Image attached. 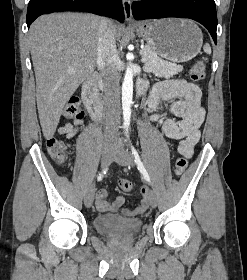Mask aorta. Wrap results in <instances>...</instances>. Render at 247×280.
Returning <instances> with one entry per match:
<instances>
[{"instance_id": "obj_1", "label": "aorta", "mask_w": 247, "mask_h": 280, "mask_svg": "<svg viewBox=\"0 0 247 280\" xmlns=\"http://www.w3.org/2000/svg\"><path fill=\"white\" fill-rule=\"evenodd\" d=\"M132 97H133V72L132 69L128 67L125 72V76L122 84L123 126L126 131H128V128L130 126Z\"/></svg>"}]
</instances>
